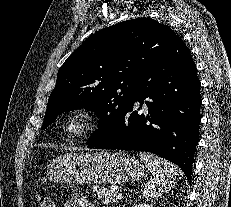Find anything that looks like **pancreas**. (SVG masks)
Segmentation results:
<instances>
[{
	"label": "pancreas",
	"mask_w": 231,
	"mask_h": 207,
	"mask_svg": "<svg viewBox=\"0 0 231 207\" xmlns=\"http://www.w3.org/2000/svg\"><path fill=\"white\" fill-rule=\"evenodd\" d=\"M94 192L98 196V199L105 205L117 202L118 192L116 190H112L103 186L95 189Z\"/></svg>",
	"instance_id": "pancreas-1"
}]
</instances>
